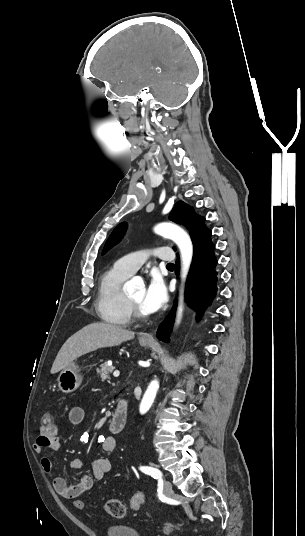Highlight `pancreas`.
Masks as SVG:
<instances>
[{
    "label": "pancreas",
    "instance_id": "pancreas-1",
    "mask_svg": "<svg viewBox=\"0 0 305 536\" xmlns=\"http://www.w3.org/2000/svg\"><path fill=\"white\" fill-rule=\"evenodd\" d=\"M113 370V366H108V362L101 364L100 370H97L98 378H101L102 382L110 380V374H112Z\"/></svg>",
    "mask_w": 305,
    "mask_h": 536
}]
</instances>
